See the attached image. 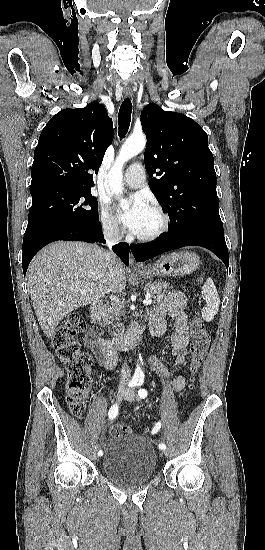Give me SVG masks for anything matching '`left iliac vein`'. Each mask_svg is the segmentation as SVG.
<instances>
[{"label": "left iliac vein", "instance_id": "4c4485c4", "mask_svg": "<svg viewBox=\"0 0 265 550\" xmlns=\"http://www.w3.org/2000/svg\"><path fill=\"white\" fill-rule=\"evenodd\" d=\"M125 399H126L127 401H129V402H132V401L134 400V390H133V389L128 390V391L126 392V394H125ZM163 453H164L165 455L168 454L167 450H165V449L163 450Z\"/></svg>", "mask_w": 265, "mask_h": 550}]
</instances>
